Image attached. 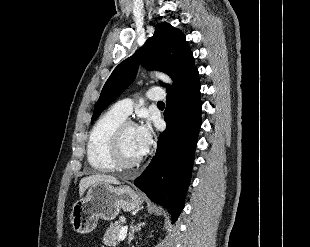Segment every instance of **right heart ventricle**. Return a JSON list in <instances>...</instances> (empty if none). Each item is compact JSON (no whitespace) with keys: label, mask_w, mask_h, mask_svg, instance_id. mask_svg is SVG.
<instances>
[{"label":"right heart ventricle","mask_w":310,"mask_h":247,"mask_svg":"<svg viewBox=\"0 0 310 247\" xmlns=\"http://www.w3.org/2000/svg\"><path fill=\"white\" fill-rule=\"evenodd\" d=\"M125 119L112 107L93 125L87 144V160L95 171L111 172L115 169L109 155L110 144L114 131Z\"/></svg>","instance_id":"obj_1"}]
</instances>
